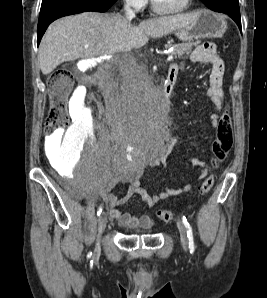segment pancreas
<instances>
[{"label":"pancreas","instance_id":"1","mask_svg":"<svg viewBox=\"0 0 267 298\" xmlns=\"http://www.w3.org/2000/svg\"><path fill=\"white\" fill-rule=\"evenodd\" d=\"M197 43L189 42V43H180V44H166L165 48L173 47L172 55L181 57L185 53H190L192 50V46Z\"/></svg>","mask_w":267,"mask_h":298}]
</instances>
